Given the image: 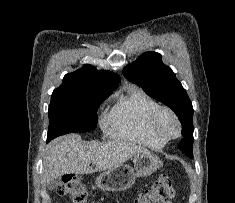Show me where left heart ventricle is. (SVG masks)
Listing matches in <instances>:
<instances>
[{
    "label": "left heart ventricle",
    "instance_id": "left-heart-ventricle-1",
    "mask_svg": "<svg viewBox=\"0 0 235 203\" xmlns=\"http://www.w3.org/2000/svg\"><path fill=\"white\" fill-rule=\"evenodd\" d=\"M158 126L160 130H162L165 133L173 134L176 132V124L173 121V119L167 114H164L160 118Z\"/></svg>",
    "mask_w": 235,
    "mask_h": 203
}]
</instances>
